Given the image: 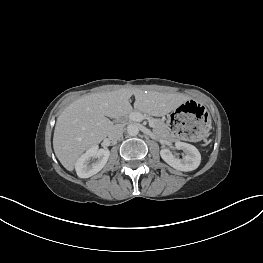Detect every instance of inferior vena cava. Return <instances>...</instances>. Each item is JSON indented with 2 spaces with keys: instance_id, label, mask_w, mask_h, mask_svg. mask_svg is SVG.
Masks as SVG:
<instances>
[{
  "instance_id": "obj_1",
  "label": "inferior vena cava",
  "mask_w": 263,
  "mask_h": 263,
  "mask_svg": "<svg viewBox=\"0 0 263 263\" xmlns=\"http://www.w3.org/2000/svg\"><path fill=\"white\" fill-rule=\"evenodd\" d=\"M123 135V128L120 125H115L113 129L108 134L110 140L116 141L120 139Z\"/></svg>"
}]
</instances>
